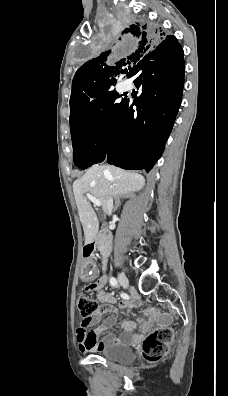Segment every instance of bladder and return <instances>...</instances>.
Here are the masks:
<instances>
[{
  "mask_svg": "<svg viewBox=\"0 0 228 396\" xmlns=\"http://www.w3.org/2000/svg\"><path fill=\"white\" fill-rule=\"evenodd\" d=\"M97 355L108 361L119 364H129L135 359V353L127 344H113L96 352Z\"/></svg>",
  "mask_w": 228,
  "mask_h": 396,
  "instance_id": "obj_1",
  "label": "bladder"
}]
</instances>
